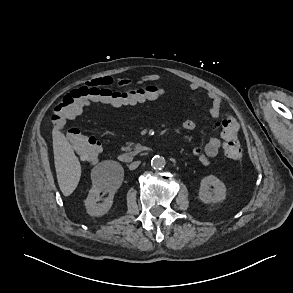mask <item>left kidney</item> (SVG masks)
<instances>
[{"mask_svg":"<svg viewBox=\"0 0 293 293\" xmlns=\"http://www.w3.org/2000/svg\"><path fill=\"white\" fill-rule=\"evenodd\" d=\"M214 188L211 189L210 187ZM226 186L214 175L204 177L200 182L198 197L203 203H218L226 198Z\"/></svg>","mask_w":293,"mask_h":293,"instance_id":"left-kidney-1","label":"left kidney"}]
</instances>
